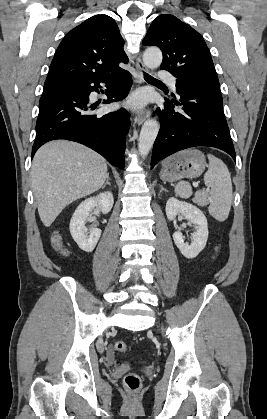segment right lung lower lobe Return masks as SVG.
Listing matches in <instances>:
<instances>
[{
    "mask_svg": "<svg viewBox=\"0 0 267 419\" xmlns=\"http://www.w3.org/2000/svg\"><path fill=\"white\" fill-rule=\"evenodd\" d=\"M105 83L108 100L123 99L132 86V77L124 69L102 78L73 82H48L39 102L36 139L32 157L48 141L67 139L84 144L101 154L112 165L124 168L125 139L130 119L125 109L103 116L91 114L96 106H89V94ZM114 89H112V87Z\"/></svg>",
    "mask_w": 267,
    "mask_h": 419,
    "instance_id": "right-lung-lower-lobe-1",
    "label": "right lung lower lobe"
}]
</instances>
